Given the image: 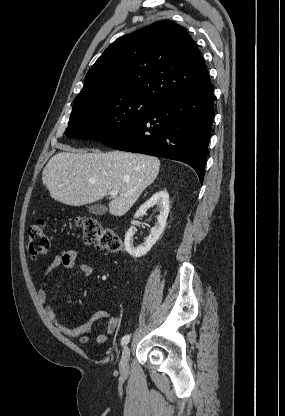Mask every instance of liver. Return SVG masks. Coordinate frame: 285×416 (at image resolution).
Returning <instances> with one entry per match:
<instances>
[{
    "instance_id": "1",
    "label": "liver",
    "mask_w": 285,
    "mask_h": 416,
    "mask_svg": "<svg viewBox=\"0 0 285 416\" xmlns=\"http://www.w3.org/2000/svg\"><path fill=\"white\" fill-rule=\"evenodd\" d=\"M56 148L64 152L50 158L42 172V184L51 198L67 206H84L103 200L110 190H118L119 196L108 204L112 216H125L160 170V160L144 154H101L98 150L87 154L64 144Z\"/></svg>"
}]
</instances>
